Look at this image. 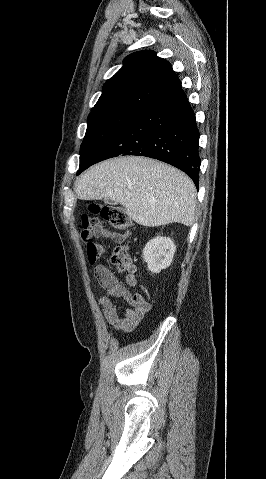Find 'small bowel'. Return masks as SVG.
I'll list each match as a JSON object with an SVG mask.
<instances>
[{"instance_id": "c3829d8e", "label": "small bowel", "mask_w": 266, "mask_h": 479, "mask_svg": "<svg viewBox=\"0 0 266 479\" xmlns=\"http://www.w3.org/2000/svg\"><path fill=\"white\" fill-rule=\"evenodd\" d=\"M99 240H112L121 242L124 237L116 232L103 230L95 234ZM95 274L98 283L105 291V294L99 298V304L102 308L106 321L118 331L132 330L139 321L150 310V304L145 300L141 292L132 293L128 287L137 285L135 270L126 277L128 287L123 286L115 275L104 265L99 264L95 267ZM116 298H122L127 301L131 307L125 309L121 314L115 302Z\"/></svg>"}]
</instances>
